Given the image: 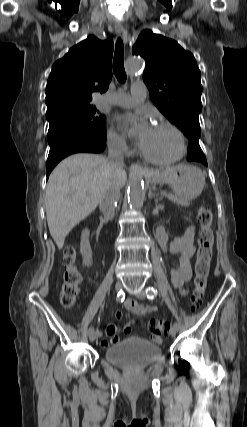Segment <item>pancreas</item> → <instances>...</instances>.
<instances>
[{
    "label": "pancreas",
    "instance_id": "obj_1",
    "mask_svg": "<svg viewBox=\"0 0 247 427\" xmlns=\"http://www.w3.org/2000/svg\"><path fill=\"white\" fill-rule=\"evenodd\" d=\"M162 196H165L166 198H168L170 201L180 205V204H186L185 201H182L179 197L173 195V194H168L165 192V194H163Z\"/></svg>",
    "mask_w": 247,
    "mask_h": 427
}]
</instances>
